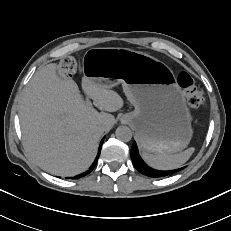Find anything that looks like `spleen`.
<instances>
[{
	"mask_svg": "<svg viewBox=\"0 0 231 231\" xmlns=\"http://www.w3.org/2000/svg\"><path fill=\"white\" fill-rule=\"evenodd\" d=\"M194 148H188L187 150L178 154H151L143 152L142 156L144 161L152 168L158 170H171L181 167L185 162L189 160L194 152Z\"/></svg>",
	"mask_w": 231,
	"mask_h": 231,
	"instance_id": "3e777b00",
	"label": "spleen"
}]
</instances>
